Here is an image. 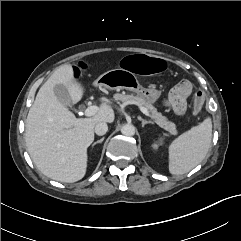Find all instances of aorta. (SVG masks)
Wrapping results in <instances>:
<instances>
[{"label": "aorta", "mask_w": 241, "mask_h": 241, "mask_svg": "<svg viewBox=\"0 0 241 241\" xmlns=\"http://www.w3.org/2000/svg\"><path fill=\"white\" fill-rule=\"evenodd\" d=\"M121 133L125 136H133L135 134V127L132 124H125L121 128Z\"/></svg>", "instance_id": "obj_1"}]
</instances>
